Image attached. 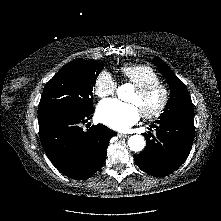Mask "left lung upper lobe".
<instances>
[{"instance_id":"obj_1","label":"left lung upper lobe","mask_w":221,"mask_h":221,"mask_svg":"<svg viewBox=\"0 0 221 221\" xmlns=\"http://www.w3.org/2000/svg\"><path fill=\"white\" fill-rule=\"evenodd\" d=\"M153 62L166 78L171 90L170 99L167 102L164 112L158 119H194L193 104L184 83L159 57H155Z\"/></svg>"}]
</instances>
